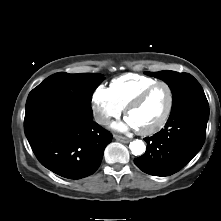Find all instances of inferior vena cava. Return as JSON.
<instances>
[{
	"label": "inferior vena cava",
	"instance_id": "inferior-vena-cava-1",
	"mask_svg": "<svg viewBox=\"0 0 221 221\" xmlns=\"http://www.w3.org/2000/svg\"><path fill=\"white\" fill-rule=\"evenodd\" d=\"M94 119L98 124L105 125L109 123V118L103 114H96Z\"/></svg>",
	"mask_w": 221,
	"mask_h": 221
}]
</instances>
